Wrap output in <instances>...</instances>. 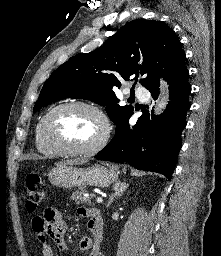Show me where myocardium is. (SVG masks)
Here are the masks:
<instances>
[{"label": "myocardium", "mask_w": 221, "mask_h": 256, "mask_svg": "<svg viewBox=\"0 0 221 256\" xmlns=\"http://www.w3.org/2000/svg\"><path fill=\"white\" fill-rule=\"evenodd\" d=\"M71 107H79V108L87 109L99 117L103 126V131L100 138L94 144L84 148H74V147H69L67 145H64L58 141H55L49 136L48 124L51 118L58 111L66 108H71ZM39 133H40V138L42 142L47 147L55 150L59 154L68 155V156H87V155H93L99 152L106 146L110 137L111 126H110V122L107 115L97 105L89 102H85V101H69V102L58 104L42 117L40 122Z\"/></svg>", "instance_id": "f54148a6"}]
</instances>
